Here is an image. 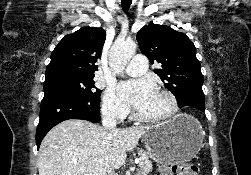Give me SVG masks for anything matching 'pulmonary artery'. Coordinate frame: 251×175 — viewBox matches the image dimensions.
Segmentation results:
<instances>
[{
	"label": "pulmonary artery",
	"mask_w": 251,
	"mask_h": 175,
	"mask_svg": "<svg viewBox=\"0 0 251 175\" xmlns=\"http://www.w3.org/2000/svg\"><path fill=\"white\" fill-rule=\"evenodd\" d=\"M134 62H130L124 69L127 74L132 76H145L146 67H148L147 58L144 55H134Z\"/></svg>",
	"instance_id": "pulmonary-artery-1"
}]
</instances>
